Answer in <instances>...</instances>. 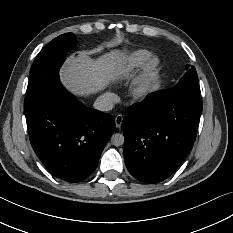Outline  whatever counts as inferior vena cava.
Listing matches in <instances>:
<instances>
[{
	"mask_svg": "<svg viewBox=\"0 0 233 233\" xmlns=\"http://www.w3.org/2000/svg\"><path fill=\"white\" fill-rule=\"evenodd\" d=\"M93 107L99 111H110L114 107V103L111 98L99 96L94 104Z\"/></svg>",
	"mask_w": 233,
	"mask_h": 233,
	"instance_id": "obj_1",
	"label": "inferior vena cava"
}]
</instances>
